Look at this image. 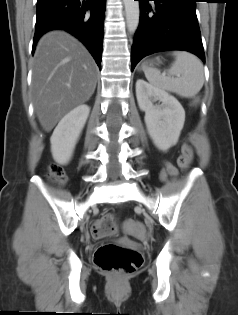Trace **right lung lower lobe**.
Here are the masks:
<instances>
[{"instance_id": "1", "label": "right lung lower lobe", "mask_w": 238, "mask_h": 315, "mask_svg": "<svg viewBox=\"0 0 238 315\" xmlns=\"http://www.w3.org/2000/svg\"><path fill=\"white\" fill-rule=\"evenodd\" d=\"M106 0H37L35 45L47 31L65 30L87 47L101 69Z\"/></svg>"}]
</instances>
